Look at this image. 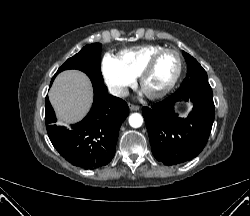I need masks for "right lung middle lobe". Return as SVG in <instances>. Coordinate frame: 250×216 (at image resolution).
Wrapping results in <instances>:
<instances>
[{"label":"right lung middle lobe","mask_w":250,"mask_h":216,"mask_svg":"<svg viewBox=\"0 0 250 216\" xmlns=\"http://www.w3.org/2000/svg\"><path fill=\"white\" fill-rule=\"evenodd\" d=\"M102 45L94 43L87 45L82 50L69 58L56 72L55 76L67 69H77L87 74L92 82L103 83L100 67V52ZM55 76L53 78H55Z\"/></svg>","instance_id":"right-lung-middle-lobe-1"}]
</instances>
